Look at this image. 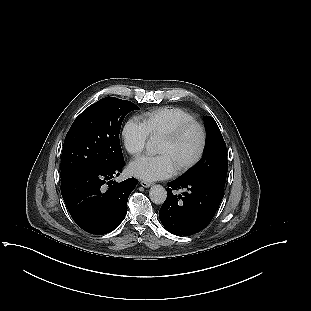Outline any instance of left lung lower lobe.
<instances>
[{
  "instance_id": "0a47b994",
  "label": "left lung lower lobe",
  "mask_w": 311,
  "mask_h": 311,
  "mask_svg": "<svg viewBox=\"0 0 311 311\" xmlns=\"http://www.w3.org/2000/svg\"><path fill=\"white\" fill-rule=\"evenodd\" d=\"M167 198L159 217L163 226L177 236H189L203 230L212 220L224 196V188L207 180L175 179L168 183ZM187 188L188 193L174 195L172 189Z\"/></svg>"
}]
</instances>
